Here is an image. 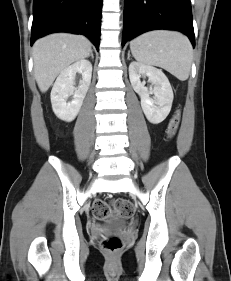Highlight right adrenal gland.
I'll list each match as a JSON object with an SVG mask.
<instances>
[{"label": "right adrenal gland", "mask_w": 231, "mask_h": 281, "mask_svg": "<svg viewBox=\"0 0 231 281\" xmlns=\"http://www.w3.org/2000/svg\"><path fill=\"white\" fill-rule=\"evenodd\" d=\"M91 56V59H94V55H93V52L91 51L90 55Z\"/></svg>", "instance_id": "obj_1"}]
</instances>
